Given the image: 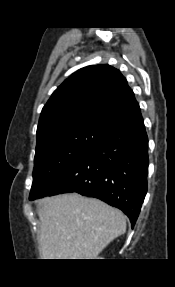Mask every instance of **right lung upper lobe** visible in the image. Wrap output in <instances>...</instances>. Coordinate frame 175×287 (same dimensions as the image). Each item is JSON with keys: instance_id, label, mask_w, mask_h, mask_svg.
I'll return each instance as SVG.
<instances>
[{"instance_id": "right-lung-upper-lobe-1", "label": "right lung upper lobe", "mask_w": 175, "mask_h": 287, "mask_svg": "<svg viewBox=\"0 0 175 287\" xmlns=\"http://www.w3.org/2000/svg\"><path fill=\"white\" fill-rule=\"evenodd\" d=\"M140 111L121 72L109 65L79 69L68 77L43 107L37 137L65 124L101 122L114 126Z\"/></svg>"}]
</instances>
